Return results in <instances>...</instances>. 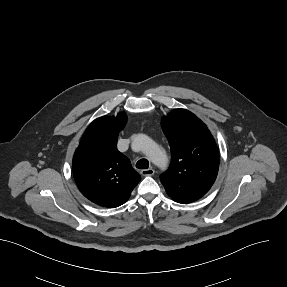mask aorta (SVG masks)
<instances>
[{
    "instance_id": "obj_1",
    "label": "aorta",
    "mask_w": 287,
    "mask_h": 287,
    "mask_svg": "<svg viewBox=\"0 0 287 287\" xmlns=\"http://www.w3.org/2000/svg\"><path fill=\"white\" fill-rule=\"evenodd\" d=\"M133 144L137 145L156 166L161 169L167 166L168 159L165 151L147 135L138 134Z\"/></svg>"
}]
</instances>
